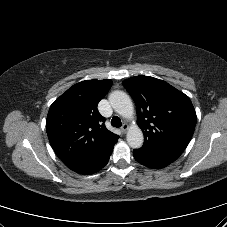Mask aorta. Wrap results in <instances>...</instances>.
<instances>
[{"label": "aorta", "mask_w": 227, "mask_h": 227, "mask_svg": "<svg viewBox=\"0 0 227 227\" xmlns=\"http://www.w3.org/2000/svg\"><path fill=\"white\" fill-rule=\"evenodd\" d=\"M109 102L113 109L122 117L130 119L134 115V107L130 97L123 91H113L109 95ZM127 143L131 148L138 149L143 145L144 136L141 129L137 125L129 128L127 135Z\"/></svg>", "instance_id": "aorta-1"}]
</instances>
